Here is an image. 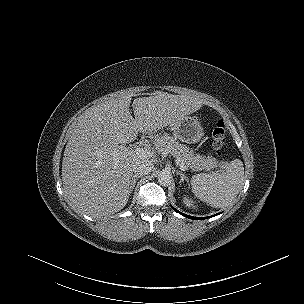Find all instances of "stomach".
Here are the masks:
<instances>
[{
	"label": "stomach",
	"instance_id": "1",
	"mask_svg": "<svg viewBox=\"0 0 304 304\" xmlns=\"http://www.w3.org/2000/svg\"><path fill=\"white\" fill-rule=\"evenodd\" d=\"M175 138L185 143H196L203 136V128L200 122L190 116H185L170 125Z\"/></svg>",
	"mask_w": 304,
	"mask_h": 304
}]
</instances>
